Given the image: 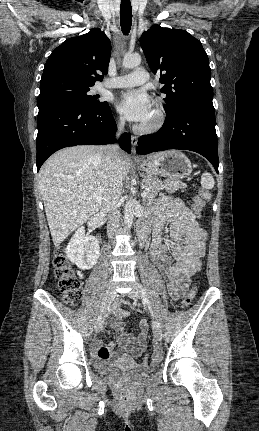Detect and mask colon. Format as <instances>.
Segmentation results:
<instances>
[{"label": "colon", "mask_w": 259, "mask_h": 431, "mask_svg": "<svg viewBox=\"0 0 259 431\" xmlns=\"http://www.w3.org/2000/svg\"><path fill=\"white\" fill-rule=\"evenodd\" d=\"M210 199V193L206 190H201L200 194L195 198L194 203L191 205L192 211L194 212V218L200 220L203 218V205ZM54 277L58 290L62 294L63 300L67 304L76 303L81 297V282L76 275L74 269L69 263L65 250L60 248L57 250L54 259ZM195 297V287H192L182 301L184 308L189 307ZM149 356L145 355L142 358L143 364H148Z\"/></svg>", "instance_id": "colon-1"}]
</instances>
